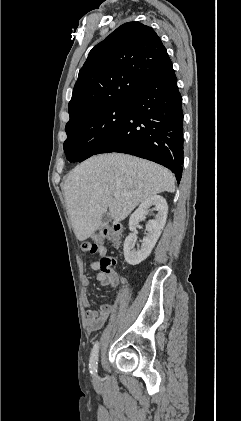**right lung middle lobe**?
<instances>
[{
    "instance_id": "right-lung-middle-lobe-1",
    "label": "right lung middle lobe",
    "mask_w": 241,
    "mask_h": 421,
    "mask_svg": "<svg viewBox=\"0 0 241 421\" xmlns=\"http://www.w3.org/2000/svg\"><path fill=\"white\" fill-rule=\"evenodd\" d=\"M128 101L92 112L66 126L64 151L70 162H81L107 143L126 120Z\"/></svg>"
}]
</instances>
